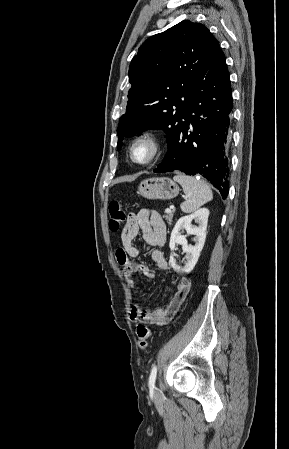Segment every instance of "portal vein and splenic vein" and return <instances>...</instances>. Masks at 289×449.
<instances>
[{"instance_id": "portal-vein-and-splenic-vein-1", "label": "portal vein and splenic vein", "mask_w": 289, "mask_h": 449, "mask_svg": "<svg viewBox=\"0 0 289 449\" xmlns=\"http://www.w3.org/2000/svg\"><path fill=\"white\" fill-rule=\"evenodd\" d=\"M165 212H166V213H170V212H171V208H167V209L165 210Z\"/></svg>"}]
</instances>
